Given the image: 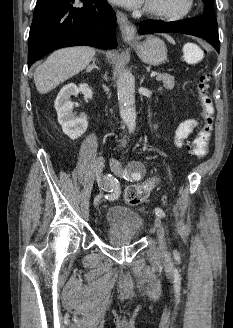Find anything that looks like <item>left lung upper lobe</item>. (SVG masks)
Listing matches in <instances>:
<instances>
[{
    "label": "left lung upper lobe",
    "instance_id": "left-lung-upper-lobe-1",
    "mask_svg": "<svg viewBox=\"0 0 233 328\" xmlns=\"http://www.w3.org/2000/svg\"><path fill=\"white\" fill-rule=\"evenodd\" d=\"M205 6L203 11V16L215 19V13L213 9V0H203Z\"/></svg>",
    "mask_w": 233,
    "mask_h": 328
}]
</instances>
